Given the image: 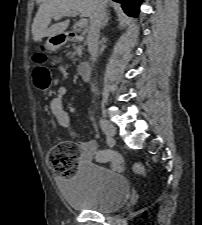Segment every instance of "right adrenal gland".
Returning <instances> with one entry per match:
<instances>
[{
    "mask_svg": "<svg viewBox=\"0 0 202 225\" xmlns=\"http://www.w3.org/2000/svg\"><path fill=\"white\" fill-rule=\"evenodd\" d=\"M109 15H110V13H109V11L106 13V15H105V18H104V20H103V22H102V24H101V29H104V27H106L107 26V24H108V22H109Z\"/></svg>",
    "mask_w": 202,
    "mask_h": 225,
    "instance_id": "1",
    "label": "right adrenal gland"
}]
</instances>
